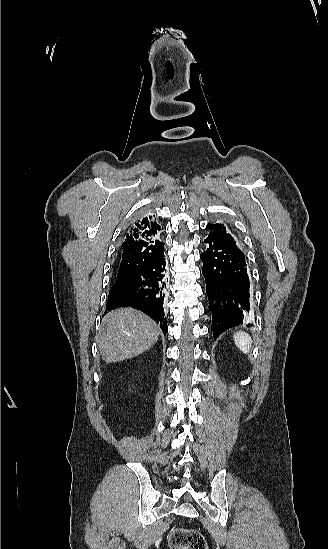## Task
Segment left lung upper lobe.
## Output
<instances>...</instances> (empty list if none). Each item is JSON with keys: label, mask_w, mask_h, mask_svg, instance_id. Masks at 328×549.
I'll return each instance as SVG.
<instances>
[{"label": "left lung upper lobe", "mask_w": 328, "mask_h": 549, "mask_svg": "<svg viewBox=\"0 0 328 549\" xmlns=\"http://www.w3.org/2000/svg\"><path fill=\"white\" fill-rule=\"evenodd\" d=\"M206 227L210 230V233H209L210 236H213L217 239L226 241V242H228L232 245L237 246L235 238L229 232H227L226 227L223 224H221V223L210 224L209 223Z\"/></svg>", "instance_id": "5c2ea615"}]
</instances>
